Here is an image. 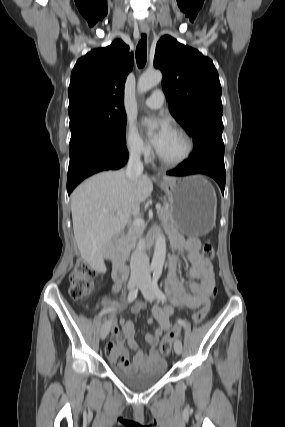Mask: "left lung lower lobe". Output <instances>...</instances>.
I'll return each mask as SVG.
<instances>
[{"label": "left lung lower lobe", "mask_w": 285, "mask_h": 427, "mask_svg": "<svg viewBox=\"0 0 285 427\" xmlns=\"http://www.w3.org/2000/svg\"><path fill=\"white\" fill-rule=\"evenodd\" d=\"M171 176L206 174L219 184L222 193L225 188V165L223 140H205L195 146L193 155L183 161L175 170L167 172Z\"/></svg>", "instance_id": "0a47b994"}]
</instances>
